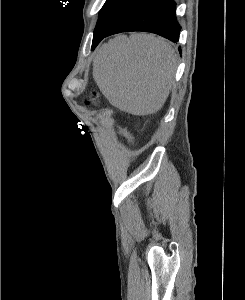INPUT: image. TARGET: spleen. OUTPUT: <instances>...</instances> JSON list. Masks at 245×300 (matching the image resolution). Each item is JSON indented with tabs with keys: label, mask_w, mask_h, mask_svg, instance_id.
<instances>
[{
	"label": "spleen",
	"mask_w": 245,
	"mask_h": 300,
	"mask_svg": "<svg viewBox=\"0 0 245 300\" xmlns=\"http://www.w3.org/2000/svg\"><path fill=\"white\" fill-rule=\"evenodd\" d=\"M175 67V51L163 39L146 34L118 36L99 49L93 78L113 106L147 115L165 103Z\"/></svg>",
	"instance_id": "spleen-1"
}]
</instances>
